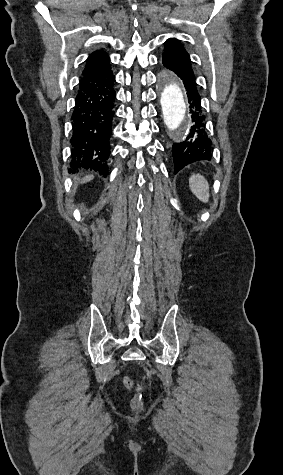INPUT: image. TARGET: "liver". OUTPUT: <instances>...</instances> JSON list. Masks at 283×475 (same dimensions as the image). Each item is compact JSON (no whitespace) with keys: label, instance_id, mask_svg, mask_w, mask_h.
Listing matches in <instances>:
<instances>
[{"label":"liver","instance_id":"6515ba94","mask_svg":"<svg viewBox=\"0 0 283 475\" xmlns=\"http://www.w3.org/2000/svg\"><path fill=\"white\" fill-rule=\"evenodd\" d=\"M90 180H93V176H85V178H82L81 184H85V182H90Z\"/></svg>","mask_w":283,"mask_h":475}]
</instances>
